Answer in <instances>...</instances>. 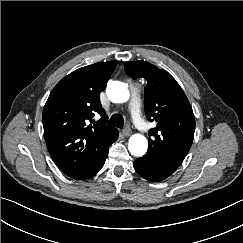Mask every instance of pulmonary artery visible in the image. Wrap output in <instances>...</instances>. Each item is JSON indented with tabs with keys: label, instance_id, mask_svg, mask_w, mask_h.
<instances>
[{
	"label": "pulmonary artery",
	"instance_id": "pulmonary-artery-1",
	"mask_svg": "<svg viewBox=\"0 0 243 243\" xmlns=\"http://www.w3.org/2000/svg\"><path fill=\"white\" fill-rule=\"evenodd\" d=\"M129 111L136 127L141 131H147V126L141 116L138 88L136 86L131 87V100L129 103Z\"/></svg>",
	"mask_w": 243,
	"mask_h": 243
}]
</instances>
